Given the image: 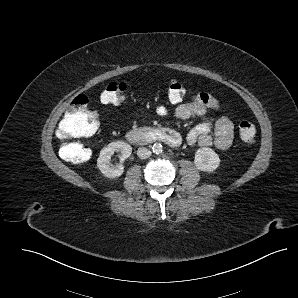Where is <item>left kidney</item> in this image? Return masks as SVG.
<instances>
[{
	"label": "left kidney",
	"instance_id": "obj_1",
	"mask_svg": "<svg viewBox=\"0 0 298 298\" xmlns=\"http://www.w3.org/2000/svg\"><path fill=\"white\" fill-rule=\"evenodd\" d=\"M219 157L214 150L210 148H200L195 154V164L198 169L212 171L219 165Z\"/></svg>",
	"mask_w": 298,
	"mask_h": 298
}]
</instances>
